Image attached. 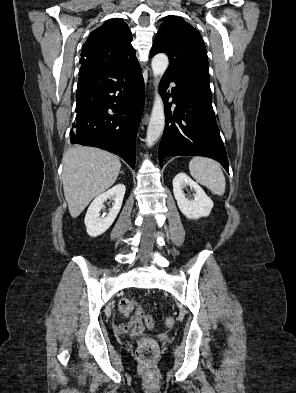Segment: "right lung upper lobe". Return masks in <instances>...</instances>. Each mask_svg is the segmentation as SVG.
<instances>
[{"mask_svg": "<svg viewBox=\"0 0 296 393\" xmlns=\"http://www.w3.org/2000/svg\"><path fill=\"white\" fill-rule=\"evenodd\" d=\"M131 41L127 24L120 18L109 19L94 30L83 45L81 66L105 69L138 64Z\"/></svg>", "mask_w": 296, "mask_h": 393, "instance_id": "1", "label": "right lung upper lobe"}]
</instances>
